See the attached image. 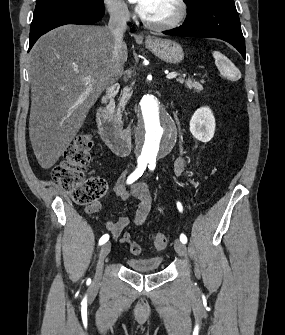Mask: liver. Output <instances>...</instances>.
Segmentation results:
<instances>
[{
  "mask_svg": "<svg viewBox=\"0 0 285 335\" xmlns=\"http://www.w3.org/2000/svg\"><path fill=\"white\" fill-rule=\"evenodd\" d=\"M128 52L118 54L107 26H60L30 52L29 138L41 168H52L82 128L102 92L123 74ZM93 76V82H82Z\"/></svg>",
  "mask_w": 285,
  "mask_h": 335,
  "instance_id": "1",
  "label": "liver"
}]
</instances>
